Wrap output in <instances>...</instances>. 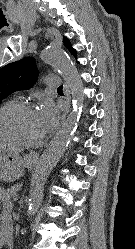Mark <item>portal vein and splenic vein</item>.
<instances>
[{
    "label": "portal vein and splenic vein",
    "instance_id": "portal-vein-and-splenic-vein-1",
    "mask_svg": "<svg viewBox=\"0 0 135 249\" xmlns=\"http://www.w3.org/2000/svg\"><path fill=\"white\" fill-rule=\"evenodd\" d=\"M18 200V197L17 196H14L13 197V201H17Z\"/></svg>",
    "mask_w": 135,
    "mask_h": 249
}]
</instances>
